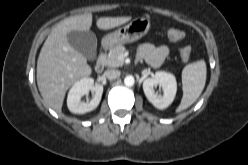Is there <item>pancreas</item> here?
Here are the masks:
<instances>
[{
	"label": "pancreas",
	"instance_id": "obj_1",
	"mask_svg": "<svg viewBox=\"0 0 248 165\" xmlns=\"http://www.w3.org/2000/svg\"><path fill=\"white\" fill-rule=\"evenodd\" d=\"M126 51L123 45H116L110 49L108 55L104 58V64L110 68L120 67L124 64V60L120 56Z\"/></svg>",
	"mask_w": 248,
	"mask_h": 165
}]
</instances>
